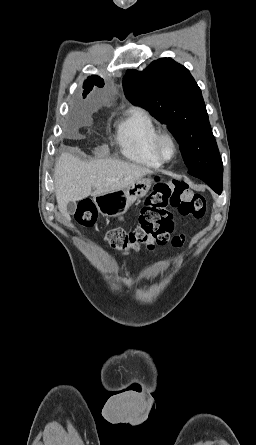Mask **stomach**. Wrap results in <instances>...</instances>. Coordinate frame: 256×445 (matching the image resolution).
Returning a JSON list of instances; mask_svg holds the SVG:
<instances>
[{"mask_svg": "<svg viewBox=\"0 0 256 445\" xmlns=\"http://www.w3.org/2000/svg\"><path fill=\"white\" fill-rule=\"evenodd\" d=\"M152 184L151 177L140 178L121 190L98 194L94 196V201L103 216H120L125 214L137 199L145 196Z\"/></svg>", "mask_w": 256, "mask_h": 445, "instance_id": "1", "label": "stomach"}]
</instances>
